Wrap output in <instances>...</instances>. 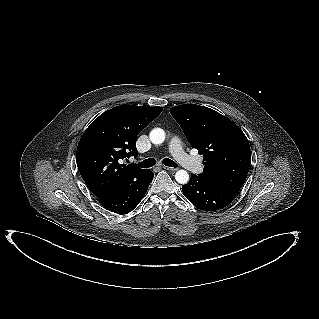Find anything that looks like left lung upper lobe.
<instances>
[{
  "mask_svg": "<svg viewBox=\"0 0 319 319\" xmlns=\"http://www.w3.org/2000/svg\"><path fill=\"white\" fill-rule=\"evenodd\" d=\"M193 148L204 155L199 176L238 194L251 163L249 141L230 119L213 109L184 104L170 109Z\"/></svg>",
  "mask_w": 319,
  "mask_h": 319,
  "instance_id": "5c2ea615",
  "label": "left lung upper lobe"
}]
</instances>
